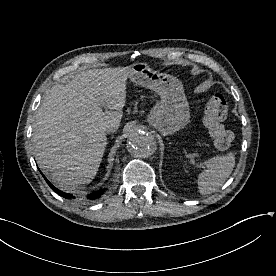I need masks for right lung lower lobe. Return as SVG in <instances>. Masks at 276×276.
Wrapping results in <instances>:
<instances>
[{"instance_id":"1","label":"right lung lower lobe","mask_w":276,"mask_h":276,"mask_svg":"<svg viewBox=\"0 0 276 276\" xmlns=\"http://www.w3.org/2000/svg\"><path fill=\"white\" fill-rule=\"evenodd\" d=\"M43 175V174H42ZM44 179L46 180V182L48 183V185L50 186V188L56 192L57 194H59L60 196L64 197V198H67V199H71V198H74L73 195L71 194H68V193H65V192H62L60 190H58L57 188H55L46 178L45 176L43 175ZM100 194H102V191H98L96 193H93L91 195L88 196V198L90 199H95V198H98L100 196Z\"/></svg>"}]
</instances>
